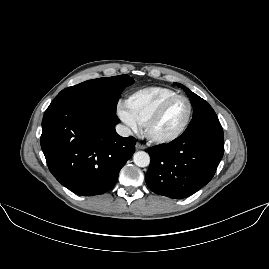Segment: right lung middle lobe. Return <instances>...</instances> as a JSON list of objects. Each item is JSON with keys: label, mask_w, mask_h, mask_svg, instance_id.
I'll return each mask as SVG.
<instances>
[{"label": "right lung middle lobe", "mask_w": 269, "mask_h": 269, "mask_svg": "<svg viewBox=\"0 0 269 269\" xmlns=\"http://www.w3.org/2000/svg\"><path fill=\"white\" fill-rule=\"evenodd\" d=\"M133 83L134 79L128 75L98 78L65 88L57 97L90 101L116 111L122 91Z\"/></svg>", "instance_id": "dd1d6c3e"}]
</instances>
